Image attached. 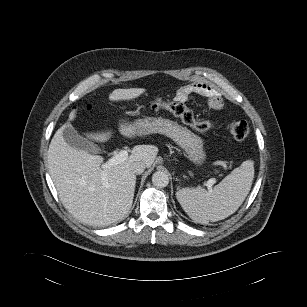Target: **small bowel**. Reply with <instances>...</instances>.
Here are the masks:
<instances>
[{
    "mask_svg": "<svg viewBox=\"0 0 307 307\" xmlns=\"http://www.w3.org/2000/svg\"><path fill=\"white\" fill-rule=\"evenodd\" d=\"M192 94H198L204 97L213 109H221L223 100L218 92L208 84L196 82L181 87L175 95V100L180 103H186Z\"/></svg>",
    "mask_w": 307,
    "mask_h": 307,
    "instance_id": "c3829d8e",
    "label": "small bowel"
}]
</instances>
